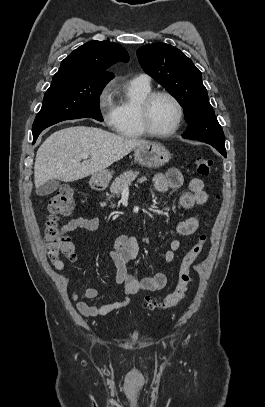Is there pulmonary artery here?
Instances as JSON below:
<instances>
[{
  "label": "pulmonary artery",
  "mask_w": 265,
  "mask_h": 407,
  "mask_svg": "<svg viewBox=\"0 0 265 407\" xmlns=\"http://www.w3.org/2000/svg\"><path fill=\"white\" fill-rule=\"evenodd\" d=\"M136 79H140V80L148 82V83L150 82V77L146 74H140L136 77Z\"/></svg>",
  "instance_id": "pulmonary-artery-1"
}]
</instances>
